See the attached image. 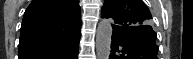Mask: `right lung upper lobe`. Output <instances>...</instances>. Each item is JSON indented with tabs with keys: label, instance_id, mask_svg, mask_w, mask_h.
<instances>
[{
	"label": "right lung upper lobe",
	"instance_id": "obj_1",
	"mask_svg": "<svg viewBox=\"0 0 193 59\" xmlns=\"http://www.w3.org/2000/svg\"><path fill=\"white\" fill-rule=\"evenodd\" d=\"M78 0H33L22 21L18 59L50 55L80 38Z\"/></svg>",
	"mask_w": 193,
	"mask_h": 59
}]
</instances>
